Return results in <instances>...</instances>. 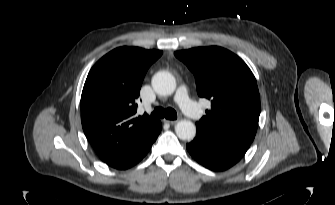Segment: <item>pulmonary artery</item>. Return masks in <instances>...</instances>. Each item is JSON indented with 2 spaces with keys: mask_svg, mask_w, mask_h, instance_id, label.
I'll use <instances>...</instances> for the list:
<instances>
[{
  "mask_svg": "<svg viewBox=\"0 0 335 205\" xmlns=\"http://www.w3.org/2000/svg\"><path fill=\"white\" fill-rule=\"evenodd\" d=\"M175 101L178 103L182 111L190 118L197 120L201 117L202 112L200 108L190 99L185 86L179 87L175 96Z\"/></svg>",
  "mask_w": 335,
  "mask_h": 205,
  "instance_id": "pulmonary-artery-1",
  "label": "pulmonary artery"
}]
</instances>
